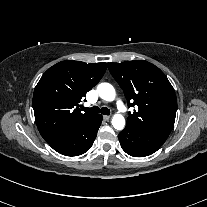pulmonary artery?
I'll return each instance as SVG.
<instances>
[{
  "label": "pulmonary artery",
  "instance_id": "pulmonary-artery-1",
  "mask_svg": "<svg viewBox=\"0 0 207 207\" xmlns=\"http://www.w3.org/2000/svg\"><path fill=\"white\" fill-rule=\"evenodd\" d=\"M117 106H118L119 108H122V107H123V104H122L120 101H117Z\"/></svg>",
  "mask_w": 207,
  "mask_h": 207
}]
</instances>
